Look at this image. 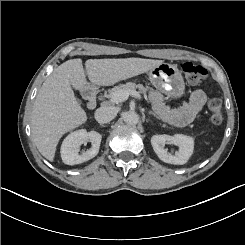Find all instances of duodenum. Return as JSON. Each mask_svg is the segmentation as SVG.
Segmentation results:
<instances>
[{
  "label": "duodenum",
  "instance_id": "410a0bca",
  "mask_svg": "<svg viewBox=\"0 0 245 245\" xmlns=\"http://www.w3.org/2000/svg\"><path fill=\"white\" fill-rule=\"evenodd\" d=\"M86 96L88 98V108L93 109L96 106V93L93 88H88L85 90Z\"/></svg>",
  "mask_w": 245,
  "mask_h": 245
}]
</instances>
